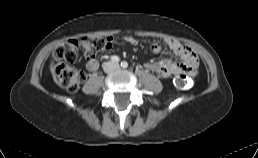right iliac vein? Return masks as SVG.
I'll list each match as a JSON object with an SVG mask.
<instances>
[{
    "label": "right iliac vein",
    "mask_w": 258,
    "mask_h": 158,
    "mask_svg": "<svg viewBox=\"0 0 258 158\" xmlns=\"http://www.w3.org/2000/svg\"><path fill=\"white\" fill-rule=\"evenodd\" d=\"M112 69H113V66H112V64H110V63H108V64L105 66V71H106V72H110Z\"/></svg>",
    "instance_id": "1"
}]
</instances>
